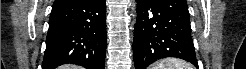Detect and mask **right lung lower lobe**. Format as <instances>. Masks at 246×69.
I'll use <instances>...</instances> for the list:
<instances>
[{
    "label": "right lung lower lobe",
    "mask_w": 246,
    "mask_h": 69,
    "mask_svg": "<svg viewBox=\"0 0 246 69\" xmlns=\"http://www.w3.org/2000/svg\"><path fill=\"white\" fill-rule=\"evenodd\" d=\"M105 16V0L54 2L42 69H53L67 63L87 69H104Z\"/></svg>",
    "instance_id": "right-lung-lower-lobe-1"
}]
</instances>
